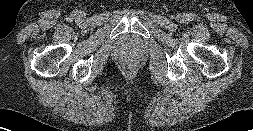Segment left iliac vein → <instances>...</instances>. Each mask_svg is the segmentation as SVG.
Here are the masks:
<instances>
[{
    "label": "left iliac vein",
    "mask_w": 253,
    "mask_h": 131,
    "mask_svg": "<svg viewBox=\"0 0 253 131\" xmlns=\"http://www.w3.org/2000/svg\"><path fill=\"white\" fill-rule=\"evenodd\" d=\"M185 15H179V19L181 20V21H184L185 20Z\"/></svg>",
    "instance_id": "1"
}]
</instances>
